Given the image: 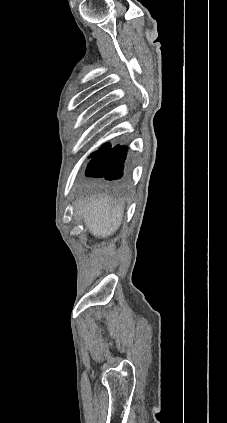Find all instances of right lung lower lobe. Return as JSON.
Returning <instances> with one entry per match:
<instances>
[{
    "mask_svg": "<svg viewBox=\"0 0 227 423\" xmlns=\"http://www.w3.org/2000/svg\"><path fill=\"white\" fill-rule=\"evenodd\" d=\"M127 148L116 146L106 149L96 155L88 164L86 176L105 177L107 180H115L121 177Z\"/></svg>",
    "mask_w": 227,
    "mask_h": 423,
    "instance_id": "1",
    "label": "right lung lower lobe"
}]
</instances>
